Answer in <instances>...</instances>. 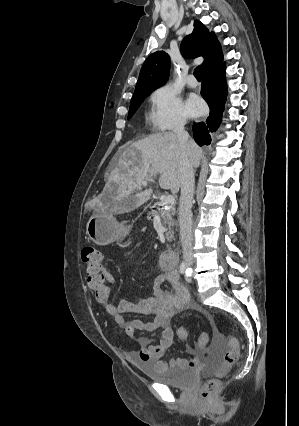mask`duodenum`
I'll return each mask as SVG.
<instances>
[{"instance_id":"obj_1","label":"duodenum","mask_w":299,"mask_h":426,"mask_svg":"<svg viewBox=\"0 0 299 426\" xmlns=\"http://www.w3.org/2000/svg\"><path fill=\"white\" fill-rule=\"evenodd\" d=\"M178 254L175 250H168L162 253L160 257V264L163 267L174 266L177 264Z\"/></svg>"}]
</instances>
